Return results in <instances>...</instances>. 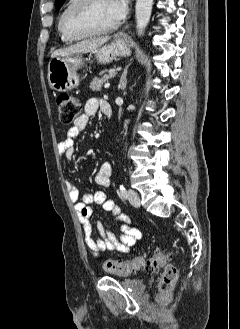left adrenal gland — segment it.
Here are the masks:
<instances>
[{"label":"left adrenal gland","instance_id":"obj_1","mask_svg":"<svg viewBox=\"0 0 240 329\" xmlns=\"http://www.w3.org/2000/svg\"><path fill=\"white\" fill-rule=\"evenodd\" d=\"M127 70L124 71V73L121 75L120 81H119V88L121 90H124L126 88L127 80H126Z\"/></svg>","mask_w":240,"mask_h":329}]
</instances>
